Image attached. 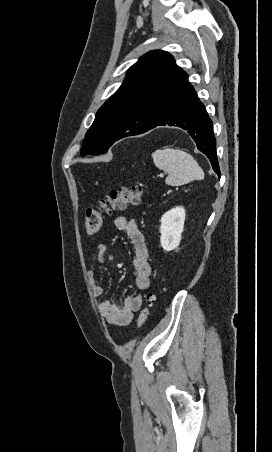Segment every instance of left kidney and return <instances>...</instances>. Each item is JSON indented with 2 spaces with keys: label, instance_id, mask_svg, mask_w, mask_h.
I'll return each mask as SVG.
<instances>
[{
  "label": "left kidney",
  "instance_id": "5707ae66",
  "mask_svg": "<svg viewBox=\"0 0 272 452\" xmlns=\"http://www.w3.org/2000/svg\"><path fill=\"white\" fill-rule=\"evenodd\" d=\"M185 217V209L181 206L175 207L162 215L160 244L164 251L169 252L179 246Z\"/></svg>",
  "mask_w": 272,
  "mask_h": 452
}]
</instances>
